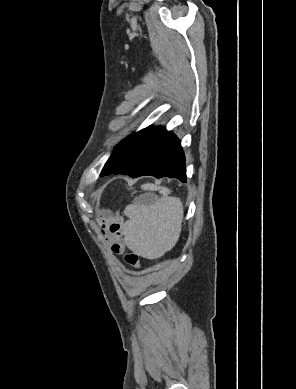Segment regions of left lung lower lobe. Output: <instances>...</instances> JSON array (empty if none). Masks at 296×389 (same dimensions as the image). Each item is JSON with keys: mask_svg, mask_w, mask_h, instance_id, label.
I'll return each instance as SVG.
<instances>
[{"mask_svg": "<svg viewBox=\"0 0 296 389\" xmlns=\"http://www.w3.org/2000/svg\"><path fill=\"white\" fill-rule=\"evenodd\" d=\"M126 174L177 178L186 182L185 155L180 140L164 127L149 126L118 144L101 176Z\"/></svg>", "mask_w": 296, "mask_h": 389, "instance_id": "obj_1", "label": "left lung lower lobe"}]
</instances>
